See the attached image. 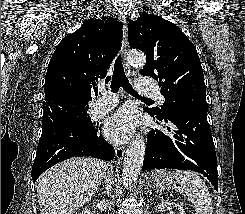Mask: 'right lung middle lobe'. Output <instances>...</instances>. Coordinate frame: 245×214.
Instances as JSON below:
<instances>
[{
	"label": "right lung middle lobe",
	"instance_id": "obj_1",
	"mask_svg": "<svg viewBox=\"0 0 245 214\" xmlns=\"http://www.w3.org/2000/svg\"><path fill=\"white\" fill-rule=\"evenodd\" d=\"M91 118L87 114V110H84L78 116H76L73 120L67 122V128H84L91 123Z\"/></svg>",
	"mask_w": 245,
	"mask_h": 214
}]
</instances>
